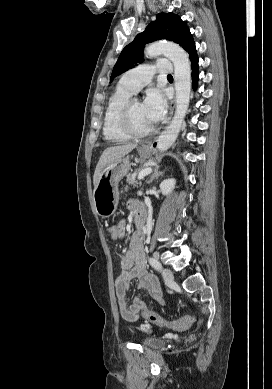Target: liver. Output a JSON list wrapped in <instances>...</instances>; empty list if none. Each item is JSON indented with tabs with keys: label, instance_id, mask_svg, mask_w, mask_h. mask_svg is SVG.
<instances>
[{
	"label": "liver",
	"instance_id": "1",
	"mask_svg": "<svg viewBox=\"0 0 272 389\" xmlns=\"http://www.w3.org/2000/svg\"><path fill=\"white\" fill-rule=\"evenodd\" d=\"M137 147V143H126L123 145L112 146L106 148L101 154L99 161L97 163L94 176H93V184L94 189L96 188L100 175L104 168L110 163L117 161L130 153L133 149Z\"/></svg>",
	"mask_w": 272,
	"mask_h": 389
}]
</instances>
